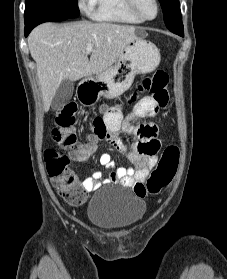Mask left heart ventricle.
Instances as JSON below:
<instances>
[{
	"label": "left heart ventricle",
	"mask_w": 227,
	"mask_h": 279,
	"mask_svg": "<svg viewBox=\"0 0 227 279\" xmlns=\"http://www.w3.org/2000/svg\"><path fill=\"white\" fill-rule=\"evenodd\" d=\"M139 12L145 17H153L156 9L153 0H137Z\"/></svg>",
	"instance_id": "b2bd125f"
}]
</instances>
